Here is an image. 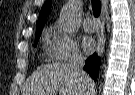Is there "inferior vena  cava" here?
<instances>
[{
	"mask_svg": "<svg viewBox=\"0 0 135 95\" xmlns=\"http://www.w3.org/2000/svg\"><path fill=\"white\" fill-rule=\"evenodd\" d=\"M84 64H85V58L77 52L72 57L69 66L73 72H75L81 77L83 83L87 85L89 77L86 74V72L83 70Z\"/></svg>",
	"mask_w": 135,
	"mask_h": 95,
	"instance_id": "1",
	"label": "inferior vena cava"
}]
</instances>
